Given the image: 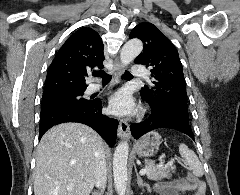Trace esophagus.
<instances>
[{
    "label": "esophagus",
    "mask_w": 240,
    "mask_h": 195,
    "mask_svg": "<svg viewBox=\"0 0 240 195\" xmlns=\"http://www.w3.org/2000/svg\"><path fill=\"white\" fill-rule=\"evenodd\" d=\"M123 71V66L120 63L119 59L116 58L113 65V72L115 77H119ZM118 137L122 139H129L131 137V132L129 128V124L126 122V120H120L118 131H117Z\"/></svg>",
    "instance_id": "34e87169"
}]
</instances>
